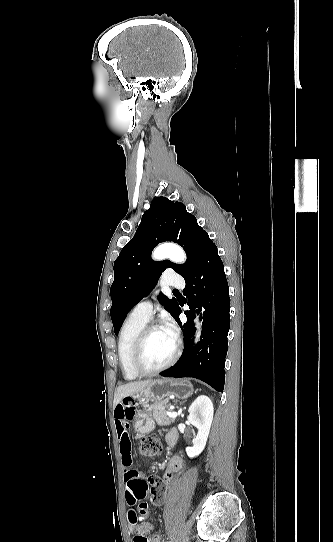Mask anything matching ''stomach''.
I'll list each match as a JSON object with an SVG mask.
<instances>
[{
  "label": "stomach",
  "instance_id": "1",
  "mask_svg": "<svg viewBox=\"0 0 333 542\" xmlns=\"http://www.w3.org/2000/svg\"><path fill=\"white\" fill-rule=\"evenodd\" d=\"M194 392L193 384L189 380H170V378H164V380H152L151 384L139 392L130 397H121L119 400H136V402H147V400H154V402H163L167 396H176L180 400H185L192 396ZM155 424L150 418H136L134 422L135 432L133 438L141 441L149 435V430H153Z\"/></svg>",
  "mask_w": 333,
  "mask_h": 542
}]
</instances>
